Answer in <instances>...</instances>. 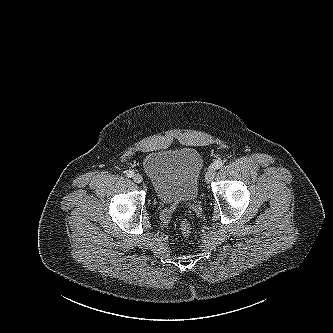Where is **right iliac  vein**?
<instances>
[{"instance_id":"63e3f726","label":"right iliac vein","mask_w":333,"mask_h":333,"mask_svg":"<svg viewBox=\"0 0 333 333\" xmlns=\"http://www.w3.org/2000/svg\"><path fill=\"white\" fill-rule=\"evenodd\" d=\"M133 180H134V182L135 183H141L142 182V180H143V178H142V176L140 175V174H135L134 176H133Z\"/></svg>"}]
</instances>
